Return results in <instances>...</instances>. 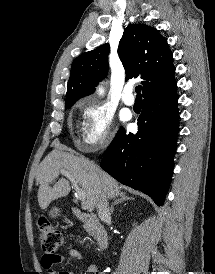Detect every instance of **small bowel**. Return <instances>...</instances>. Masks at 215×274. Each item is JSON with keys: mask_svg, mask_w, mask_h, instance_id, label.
<instances>
[{"mask_svg": "<svg viewBox=\"0 0 215 274\" xmlns=\"http://www.w3.org/2000/svg\"><path fill=\"white\" fill-rule=\"evenodd\" d=\"M68 255L71 258L77 259V260H83V254L81 250L77 247H71L68 250ZM65 258L61 255L57 254H49L45 253L41 258V265L44 270H46L49 274H74L71 271L63 270V271H57L55 270V265L64 262ZM87 274H104L100 271H98L97 265L95 263H91L87 269Z\"/></svg>", "mask_w": 215, "mask_h": 274, "instance_id": "c3829d8e", "label": "small bowel"}]
</instances>
